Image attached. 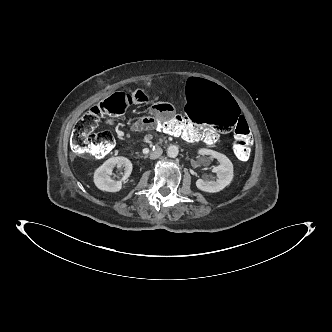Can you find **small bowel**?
<instances>
[{"instance_id":"obj_1","label":"small bowel","mask_w":332,"mask_h":332,"mask_svg":"<svg viewBox=\"0 0 332 332\" xmlns=\"http://www.w3.org/2000/svg\"><path fill=\"white\" fill-rule=\"evenodd\" d=\"M131 99L133 102L137 104H146L149 102V97L147 95V92L143 88H135L131 92ZM159 117L161 120H172L176 116L175 107L172 103L166 102V101H159L154 104H152L150 109L149 115H144L138 117L136 120H134L130 127L132 131L135 132H142V131H152L154 130V125L151 123V120L153 118ZM129 117L127 115H119L114 117L113 115H106L104 117V125L106 127H113L114 125L116 127H124L129 124ZM210 131V130H209ZM210 136H214V132L210 131ZM191 141L197 140V135L194 133H190Z\"/></svg>"}]
</instances>
